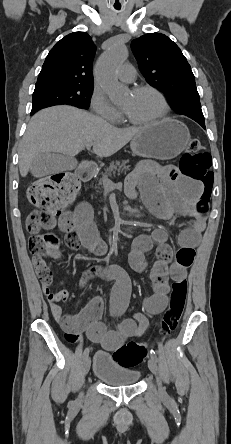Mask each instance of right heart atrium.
Here are the masks:
<instances>
[{
	"label": "right heart atrium",
	"mask_w": 231,
	"mask_h": 444,
	"mask_svg": "<svg viewBox=\"0 0 231 444\" xmlns=\"http://www.w3.org/2000/svg\"><path fill=\"white\" fill-rule=\"evenodd\" d=\"M90 104L92 110L98 116L111 122H116L120 119V113L118 109L108 101L102 91L95 89L92 92Z\"/></svg>",
	"instance_id": "d8ad5b80"
}]
</instances>
